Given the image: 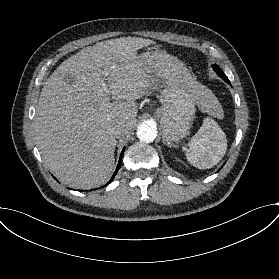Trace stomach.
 I'll return each instance as SVG.
<instances>
[{"label":"stomach","instance_id":"1","mask_svg":"<svg viewBox=\"0 0 279 279\" xmlns=\"http://www.w3.org/2000/svg\"><path fill=\"white\" fill-rule=\"evenodd\" d=\"M151 61L155 72H162L168 88L162 90V105L155 110L162 128V141L166 145L187 136L195 113L196 100L185 78L189 74L185 65L176 57L156 50L143 54Z\"/></svg>","mask_w":279,"mask_h":279}]
</instances>
